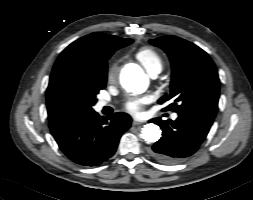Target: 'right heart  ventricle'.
Listing matches in <instances>:
<instances>
[{
	"label": "right heart ventricle",
	"mask_w": 253,
	"mask_h": 200,
	"mask_svg": "<svg viewBox=\"0 0 253 200\" xmlns=\"http://www.w3.org/2000/svg\"><path fill=\"white\" fill-rule=\"evenodd\" d=\"M135 56L149 74H158L163 69V58L152 48L143 47L136 52Z\"/></svg>",
	"instance_id": "1"
}]
</instances>
